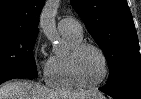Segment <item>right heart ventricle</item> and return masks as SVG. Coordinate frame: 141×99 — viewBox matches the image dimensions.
<instances>
[{"mask_svg":"<svg viewBox=\"0 0 141 99\" xmlns=\"http://www.w3.org/2000/svg\"><path fill=\"white\" fill-rule=\"evenodd\" d=\"M68 44L69 50L62 54L49 57L45 66V80L53 88L71 90L80 87L72 77L69 54L73 47L82 42V37L71 34H62Z\"/></svg>","mask_w":141,"mask_h":99,"instance_id":"right-heart-ventricle-1","label":"right heart ventricle"}]
</instances>
